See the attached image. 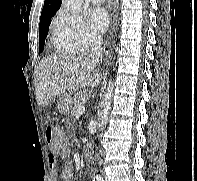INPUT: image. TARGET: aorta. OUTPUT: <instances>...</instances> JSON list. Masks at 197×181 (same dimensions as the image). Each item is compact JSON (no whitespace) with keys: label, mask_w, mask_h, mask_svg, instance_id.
I'll return each instance as SVG.
<instances>
[{"label":"aorta","mask_w":197,"mask_h":181,"mask_svg":"<svg viewBox=\"0 0 197 181\" xmlns=\"http://www.w3.org/2000/svg\"><path fill=\"white\" fill-rule=\"evenodd\" d=\"M84 0H62V4L67 8L71 13H76L80 11L81 6ZM114 84L113 81L110 80L108 82L106 91L103 95V114L100 122V131H103L105 126L107 125L109 119V113L111 110V102L113 97ZM93 181H103V177L100 174H97Z\"/></svg>","instance_id":"762f6f07"}]
</instances>
